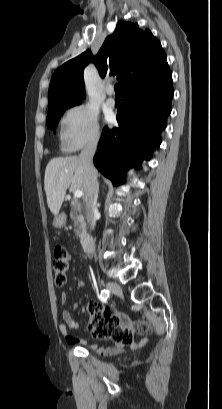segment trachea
I'll list each match as a JSON object with an SVG mask.
<instances>
[{
  "label": "trachea",
  "instance_id": "3493384b",
  "mask_svg": "<svg viewBox=\"0 0 222 409\" xmlns=\"http://www.w3.org/2000/svg\"><path fill=\"white\" fill-rule=\"evenodd\" d=\"M114 89H115V91H116V94H117V90H118V84H115V86H114Z\"/></svg>",
  "mask_w": 222,
  "mask_h": 409
}]
</instances>
